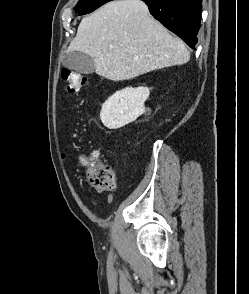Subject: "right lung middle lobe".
<instances>
[{"instance_id":"right-lung-middle-lobe-1","label":"right lung middle lobe","mask_w":249,"mask_h":294,"mask_svg":"<svg viewBox=\"0 0 249 294\" xmlns=\"http://www.w3.org/2000/svg\"><path fill=\"white\" fill-rule=\"evenodd\" d=\"M109 1L112 0H79L75 7V11L78 12L79 15L88 14Z\"/></svg>"}]
</instances>
